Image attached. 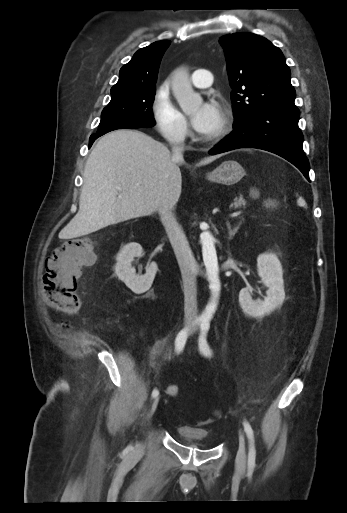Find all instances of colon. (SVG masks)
Returning <instances> with one entry per match:
<instances>
[{
  "instance_id": "1",
  "label": "colon",
  "mask_w": 347,
  "mask_h": 513,
  "mask_svg": "<svg viewBox=\"0 0 347 513\" xmlns=\"http://www.w3.org/2000/svg\"><path fill=\"white\" fill-rule=\"evenodd\" d=\"M94 253L91 241L87 238H73L61 244L47 261L44 286L53 308L64 313H74L81 307L77 293V280L82 269L92 264ZM169 396H179V388L171 385Z\"/></svg>"
}]
</instances>
